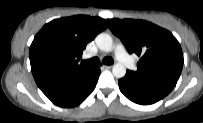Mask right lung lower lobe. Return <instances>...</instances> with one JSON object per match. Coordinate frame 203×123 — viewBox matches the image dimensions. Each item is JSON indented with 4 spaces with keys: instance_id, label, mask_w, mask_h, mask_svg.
Listing matches in <instances>:
<instances>
[{
    "instance_id": "right-lung-lower-lobe-1",
    "label": "right lung lower lobe",
    "mask_w": 203,
    "mask_h": 123,
    "mask_svg": "<svg viewBox=\"0 0 203 123\" xmlns=\"http://www.w3.org/2000/svg\"><path fill=\"white\" fill-rule=\"evenodd\" d=\"M101 71L98 66L68 71H50L35 76L47 98L60 107L82 103L94 90Z\"/></svg>"
}]
</instances>
